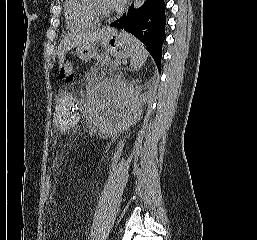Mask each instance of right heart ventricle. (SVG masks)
<instances>
[{"label":"right heart ventricle","instance_id":"obj_1","mask_svg":"<svg viewBox=\"0 0 257 240\" xmlns=\"http://www.w3.org/2000/svg\"><path fill=\"white\" fill-rule=\"evenodd\" d=\"M64 13L66 25L72 31L90 29L97 25L82 10L81 0H65Z\"/></svg>","mask_w":257,"mask_h":240}]
</instances>
